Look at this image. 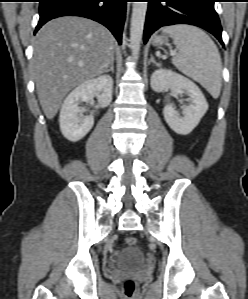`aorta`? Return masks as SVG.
<instances>
[{"instance_id":"762f6f07","label":"aorta","mask_w":248,"mask_h":299,"mask_svg":"<svg viewBox=\"0 0 248 299\" xmlns=\"http://www.w3.org/2000/svg\"><path fill=\"white\" fill-rule=\"evenodd\" d=\"M147 7V2H133L130 27V46L132 55L135 58L138 57L140 51Z\"/></svg>"}]
</instances>
